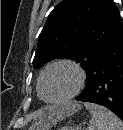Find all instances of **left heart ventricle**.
<instances>
[{
	"label": "left heart ventricle",
	"mask_w": 123,
	"mask_h": 130,
	"mask_svg": "<svg viewBox=\"0 0 123 130\" xmlns=\"http://www.w3.org/2000/svg\"><path fill=\"white\" fill-rule=\"evenodd\" d=\"M76 72L65 65L55 66L47 71L43 79L45 98L55 100L70 94L77 85Z\"/></svg>",
	"instance_id": "b2bd125f"
}]
</instances>
